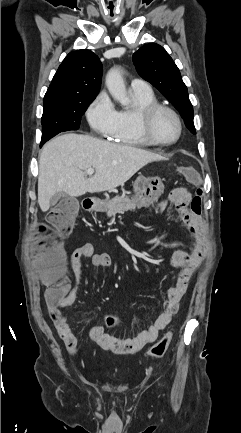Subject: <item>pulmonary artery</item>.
<instances>
[{
	"mask_svg": "<svg viewBox=\"0 0 241 433\" xmlns=\"http://www.w3.org/2000/svg\"><path fill=\"white\" fill-rule=\"evenodd\" d=\"M130 88L132 91L141 92V93H149L151 92L150 84L141 78H134L131 80Z\"/></svg>",
	"mask_w": 241,
	"mask_h": 433,
	"instance_id": "obj_1",
	"label": "pulmonary artery"
}]
</instances>
